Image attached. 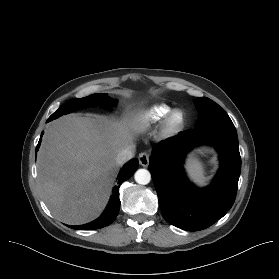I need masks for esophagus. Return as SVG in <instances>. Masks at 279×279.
<instances>
[{"label": "esophagus", "instance_id": "esophagus-1", "mask_svg": "<svg viewBox=\"0 0 279 279\" xmlns=\"http://www.w3.org/2000/svg\"><path fill=\"white\" fill-rule=\"evenodd\" d=\"M139 159V163L143 166V167H147L149 165V155L145 152L140 153L138 156Z\"/></svg>", "mask_w": 279, "mask_h": 279}]
</instances>
